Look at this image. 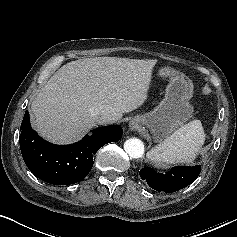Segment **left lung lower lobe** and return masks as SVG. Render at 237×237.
<instances>
[{"mask_svg":"<svg viewBox=\"0 0 237 237\" xmlns=\"http://www.w3.org/2000/svg\"><path fill=\"white\" fill-rule=\"evenodd\" d=\"M200 172V165L193 167L177 166L166 173H158L151 168L144 167L140 170V177L146 180L151 188L171 193L190 185Z\"/></svg>","mask_w":237,"mask_h":237,"instance_id":"1","label":"left lung lower lobe"}]
</instances>
